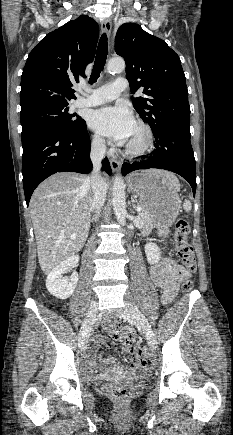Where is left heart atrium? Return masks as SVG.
Listing matches in <instances>:
<instances>
[{
    "instance_id": "left-heart-atrium-1",
    "label": "left heart atrium",
    "mask_w": 233,
    "mask_h": 435,
    "mask_svg": "<svg viewBox=\"0 0 233 435\" xmlns=\"http://www.w3.org/2000/svg\"><path fill=\"white\" fill-rule=\"evenodd\" d=\"M89 122L98 133L118 144L127 141L135 126L130 110L122 102L93 111Z\"/></svg>"
}]
</instances>
